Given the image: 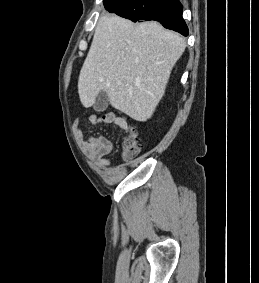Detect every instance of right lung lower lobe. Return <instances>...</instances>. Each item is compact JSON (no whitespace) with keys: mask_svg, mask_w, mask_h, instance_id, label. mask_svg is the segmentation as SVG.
<instances>
[{"mask_svg":"<svg viewBox=\"0 0 259 283\" xmlns=\"http://www.w3.org/2000/svg\"><path fill=\"white\" fill-rule=\"evenodd\" d=\"M103 4L107 11L134 22L156 20L167 29L188 35L179 0H103Z\"/></svg>","mask_w":259,"mask_h":283,"instance_id":"1","label":"right lung lower lobe"}]
</instances>
